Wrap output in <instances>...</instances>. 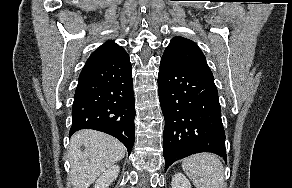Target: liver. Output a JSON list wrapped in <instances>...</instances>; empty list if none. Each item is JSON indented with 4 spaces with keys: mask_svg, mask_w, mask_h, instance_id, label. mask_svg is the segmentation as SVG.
Masks as SVG:
<instances>
[{
    "mask_svg": "<svg viewBox=\"0 0 292 188\" xmlns=\"http://www.w3.org/2000/svg\"><path fill=\"white\" fill-rule=\"evenodd\" d=\"M84 146V151L80 147ZM126 153L124 145L114 137L94 130L76 132L70 140V180L74 188L90 185Z\"/></svg>",
    "mask_w": 292,
    "mask_h": 188,
    "instance_id": "1",
    "label": "liver"
}]
</instances>
